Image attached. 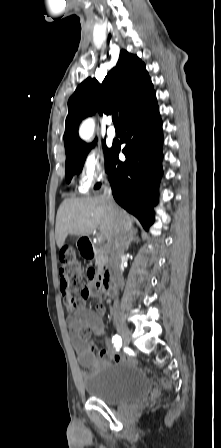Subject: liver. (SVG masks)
I'll list each match as a JSON object with an SVG mask.
<instances>
[{"instance_id":"1","label":"liver","mask_w":221,"mask_h":448,"mask_svg":"<svg viewBox=\"0 0 221 448\" xmlns=\"http://www.w3.org/2000/svg\"><path fill=\"white\" fill-rule=\"evenodd\" d=\"M126 233L134 231L133 218L121 210ZM117 216L109 207L106 196L65 199L57 212L55 238L62 248L68 235L89 236L99 227L101 235L112 245Z\"/></svg>"}]
</instances>
